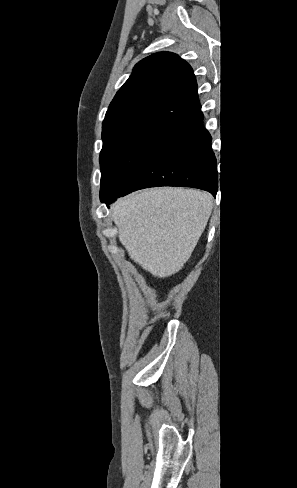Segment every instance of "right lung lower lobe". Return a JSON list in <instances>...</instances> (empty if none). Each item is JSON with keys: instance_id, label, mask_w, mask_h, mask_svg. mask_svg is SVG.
Segmentation results:
<instances>
[{"instance_id": "98d812e1", "label": "right lung lower lobe", "mask_w": 297, "mask_h": 488, "mask_svg": "<svg viewBox=\"0 0 297 488\" xmlns=\"http://www.w3.org/2000/svg\"><path fill=\"white\" fill-rule=\"evenodd\" d=\"M211 140L203 126V115L171 132L128 187L106 204L135 190L156 186L199 188L215 197L218 190L217 167Z\"/></svg>"}]
</instances>
